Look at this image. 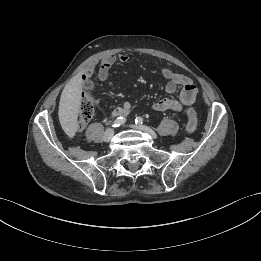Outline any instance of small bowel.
I'll return each instance as SVG.
<instances>
[{
  "instance_id": "1",
  "label": "small bowel",
  "mask_w": 261,
  "mask_h": 261,
  "mask_svg": "<svg viewBox=\"0 0 261 261\" xmlns=\"http://www.w3.org/2000/svg\"><path fill=\"white\" fill-rule=\"evenodd\" d=\"M119 61L121 63H128L129 57L126 54H119L118 56L111 55L104 58L97 65V78L99 81H105L109 75L111 67ZM94 72V69H89L83 74V79L89 78ZM161 73L166 79L165 91L168 94H173L177 90H179L178 99L172 98H162L153 103L152 110L156 112H164V111H176L180 112L185 107L192 105L197 97V87L193 83V81L183 75L172 71L168 67H162ZM131 112V104L129 102H124L118 107H116L111 112L112 118L123 117L125 118ZM84 126L80 127L83 129Z\"/></svg>"
}]
</instances>
